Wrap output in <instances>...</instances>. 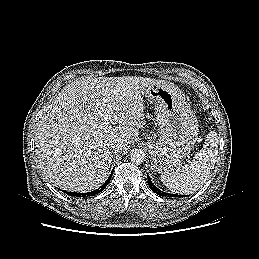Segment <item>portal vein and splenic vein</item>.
Listing matches in <instances>:
<instances>
[{"mask_svg":"<svg viewBox=\"0 0 259 259\" xmlns=\"http://www.w3.org/2000/svg\"><path fill=\"white\" fill-rule=\"evenodd\" d=\"M104 125H106V126H108V125H109V122H108V120H107V119L104 121Z\"/></svg>","mask_w":259,"mask_h":259,"instance_id":"portal-vein-and-splenic-vein-1","label":"portal vein and splenic vein"}]
</instances>
